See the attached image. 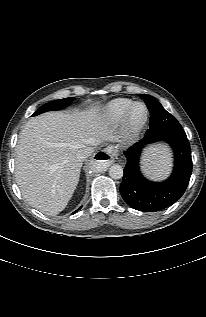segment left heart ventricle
<instances>
[{
    "label": "left heart ventricle",
    "mask_w": 206,
    "mask_h": 317,
    "mask_svg": "<svg viewBox=\"0 0 206 317\" xmlns=\"http://www.w3.org/2000/svg\"><path fill=\"white\" fill-rule=\"evenodd\" d=\"M143 114H144V109H143V107H138V108H136V110H135V112H134L135 118L139 119V118H141V117L143 116Z\"/></svg>",
    "instance_id": "b2bd125f"
}]
</instances>
